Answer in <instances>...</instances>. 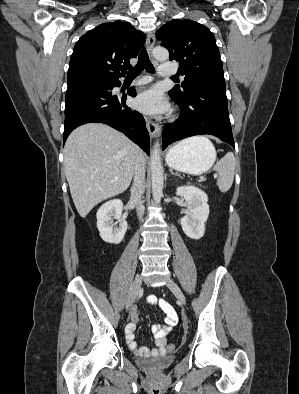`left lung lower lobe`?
<instances>
[{
	"label": "left lung lower lobe",
	"mask_w": 299,
	"mask_h": 394,
	"mask_svg": "<svg viewBox=\"0 0 299 394\" xmlns=\"http://www.w3.org/2000/svg\"><path fill=\"white\" fill-rule=\"evenodd\" d=\"M180 109V117L165 125L162 133V149L186 137L210 134L234 146L229 120L225 82L201 80L188 85L183 96L169 91Z\"/></svg>",
	"instance_id": "1"
}]
</instances>
